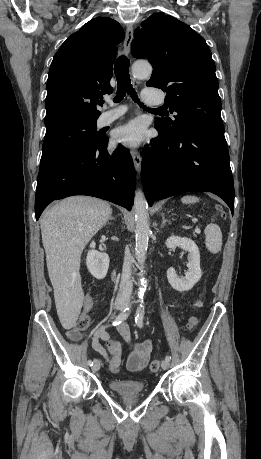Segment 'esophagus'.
Masks as SVG:
<instances>
[{
    "label": "esophagus",
    "mask_w": 261,
    "mask_h": 459,
    "mask_svg": "<svg viewBox=\"0 0 261 459\" xmlns=\"http://www.w3.org/2000/svg\"><path fill=\"white\" fill-rule=\"evenodd\" d=\"M133 32H134L133 26L128 25L126 28L125 39L123 42V51L126 56H129L130 54L131 43L133 40ZM131 155L133 158L135 170L137 171V173H139L141 170V162H142L141 155L137 150H132Z\"/></svg>",
    "instance_id": "34e87169"
}]
</instances>
